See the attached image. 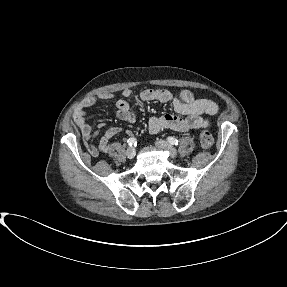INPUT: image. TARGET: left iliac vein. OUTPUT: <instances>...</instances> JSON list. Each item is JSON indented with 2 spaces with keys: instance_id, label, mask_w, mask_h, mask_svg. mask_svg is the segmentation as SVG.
Wrapping results in <instances>:
<instances>
[{
  "instance_id": "left-iliac-vein-1",
  "label": "left iliac vein",
  "mask_w": 287,
  "mask_h": 287,
  "mask_svg": "<svg viewBox=\"0 0 287 287\" xmlns=\"http://www.w3.org/2000/svg\"><path fill=\"white\" fill-rule=\"evenodd\" d=\"M156 145L159 148L168 151L171 158H176L177 157V150L174 147H172L171 145H169L166 141H164V140H157L156 141Z\"/></svg>"
}]
</instances>
